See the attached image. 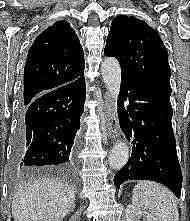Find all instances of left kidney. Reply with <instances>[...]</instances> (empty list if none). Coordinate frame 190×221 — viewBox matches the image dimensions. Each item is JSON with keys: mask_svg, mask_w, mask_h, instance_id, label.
I'll list each match as a JSON object with an SVG mask.
<instances>
[{"mask_svg": "<svg viewBox=\"0 0 190 221\" xmlns=\"http://www.w3.org/2000/svg\"><path fill=\"white\" fill-rule=\"evenodd\" d=\"M144 216L147 221H158L153 215L146 211L137 209L133 205H128L126 207V221H137V218Z\"/></svg>", "mask_w": 190, "mask_h": 221, "instance_id": "left-kidney-1", "label": "left kidney"}]
</instances>
